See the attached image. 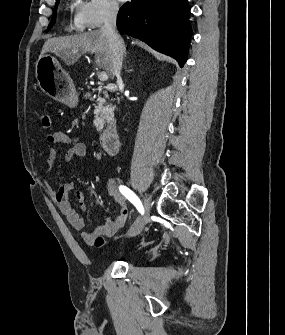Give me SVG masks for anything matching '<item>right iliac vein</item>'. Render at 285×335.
Returning <instances> with one entry per match:
<instances>
[{
  "label": "right iliac vein",
  "mask_w": 285,
  "mask_h": 335,
  "mask_svg": "<svg viewBox=\"0 0 285 335\" xmlns=\"http://www.w3.org/2000/svg\"><path fill=\"white\" fill-rule=\"evenodd\" d=\"M143 203H144V208L146 210V213L149 212V202L148 199L146 197L143 198ZM147 217L146 216H142L139 217L136 222L134 223L133 227L131 228L130 232L128 233V236L130 237H134L136 235H138L142 230L143 227L146 223Z\"/></svg>",
  "instance_id": "right-iliac-vein-1"
}]
</instances>
